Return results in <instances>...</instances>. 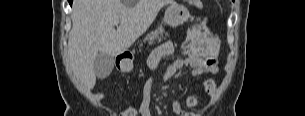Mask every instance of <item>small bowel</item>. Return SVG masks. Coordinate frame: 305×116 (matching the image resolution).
Segmentation results:
<instances>
[{
    "mask_svg": "<svg viewBox=\"0 0 305 116\" xmlns=\"http://www.w3.org/2000/svg\"><path fill=\"white\" fill-rule=\"evenodd\" d=\"M219 50L218 41L214 38L202 39L197 46V49L187 55L185 58L175 59L165 69H160L161 60L170 56L174 52V45L170 41L162 43L156 48L149 58V65L151 69L155 71V76L150 78L144 88L142 99L139 103L140 116H151L150 101L151 92L156 79L168 80L179 69L187 66L192 68L194 76H201L203 74H216L218 72V64L216 55ZM203 88L207 94H212L216 89V84L212 79H206L203 81ZM185 104L188 108L194 109L198 105V100L195 96L189 95L185 99ZM172 111L177 116H200L197 113L186 112L182 108V104L178 100H173L171 103Z\"/></svg>",
    "mask_w": 305,
    "mask_h": 116,
    "instance_id": "obj_1",
    "label": "small bowel"
}]
</instances>
